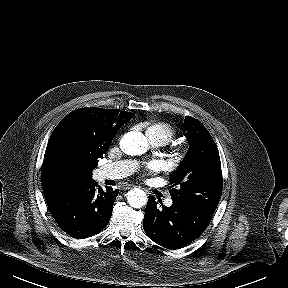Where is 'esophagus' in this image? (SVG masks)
I'll return each instance as SVG.
<instances>
[{
	"mask_svg": "<svg viewBox=\"0 0 288 288\" xmlns=\"http://www.w3.org/2000/svg\"><path fill=\"white\" fill-rule=\"evenodd\" d=\"M132 187H134V186H128L126 189H131Z\"/></svg>",
	"mask_w": 288,
	"mask_h": 288,
	"instance_id": "obj_1",
	"label": "esophagus"
}]
</instances>
